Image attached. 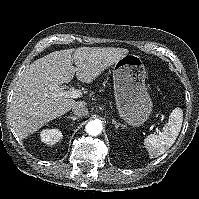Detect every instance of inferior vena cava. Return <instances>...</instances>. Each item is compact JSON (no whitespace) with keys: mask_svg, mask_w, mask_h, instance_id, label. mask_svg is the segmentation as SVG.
I'll use <instances>...</instances> for the list:
<instances>
[{"mask_svg":"<svg viewBox=\"0 0 199 199\" xmlns=\"http://www.w3.org/2000/svg\"><path fill=\"white\" fill-rule=\"evenodd\" d=\"M72 112L77 116H86L88 114V108L83 102H77L72 107Z\"/></svg>","mask_w":199,"mask_h":199,"instance_id":"obj_1","label":"inferior vena cava"}]
</instances>
